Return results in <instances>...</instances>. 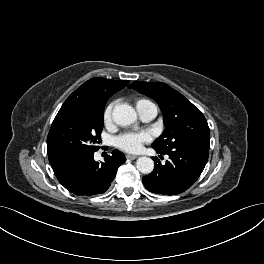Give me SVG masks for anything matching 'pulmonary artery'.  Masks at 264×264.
<instances>
[{"mask_svg":"<svg viewBox=\"0 0 264 264\" xmlns=\"http://www.w3.org/2000/svg\"><path fill=\"white\" fill-rule=\"evenodd\" d=\"M141 119L145 122L154 119L157 115V107L152 103L138 110Z\"/></svg>","mask_w":264,"mask_h":264,"instance_id":"pulmonary-artery-1","label":"pulmonary artery"}]
</instances>
